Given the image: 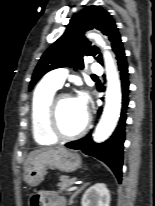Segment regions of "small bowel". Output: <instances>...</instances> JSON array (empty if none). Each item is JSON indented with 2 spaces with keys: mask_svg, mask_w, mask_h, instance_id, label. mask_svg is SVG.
<instances>
[{
  "mask_svg": "<svg viewBox=\"0 0 155 206\" xmlns=\"http://www.w3.org/2000/svg\"><path fill=\"white\" fill-rule=\"evenodd\" d=\"M39 197L38 206H65V198L56 192H42Z\"/></svg>",
  "mask_w": 155,
  "mask_h": 206,
  "instance_id": "obj_1",
  "label": "small bowel"
}]
</instances>
